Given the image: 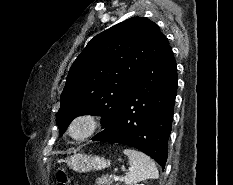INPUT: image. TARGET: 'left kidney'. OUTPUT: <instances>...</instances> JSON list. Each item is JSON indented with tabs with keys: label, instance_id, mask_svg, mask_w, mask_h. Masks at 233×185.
<instances>
[{
	"label": "left kidney",
	"instance_id": "5707ae66",
	"mask_svg": "<svg viewBox=\"0 0 233 185\" xmlns=\"http://www.w3.org/2000/svg\"><path fill=\"white\" fill-rule=\"evenodd\" d=\"M135 185H144V184H135Z\"/></svg>",
	"mask_w": 233,
	"mask_h": 185
}]
</instances>
